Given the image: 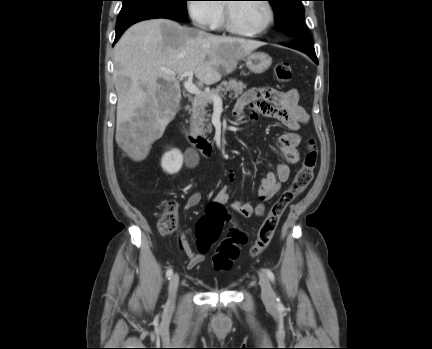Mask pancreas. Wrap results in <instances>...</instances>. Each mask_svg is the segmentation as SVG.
<instances>
[{
	"instance_id": "1",
	"label": "pancreas",
	"mask_w": 432,
	"mask_h": 349,
	"mask_svg": "<svg viewBox=\"0 0 432 349\" xmlns=\"http://www.w3.org/2000/svg\"><path fill=\"white\" fill-rule=\"evenodd\" d=\"M246 85L236 79H230L229 81H222L215 89H212L209 93H202L197 95L193 101L192 108V119L194 128L201 134L211 133L212 125L208 124L211 114L206 110L209 104H212L210 95H225L228 91L230 97L237 98L243 93V89ZM207 126V128H205Z\"/></svg>"
}]
</instances>
